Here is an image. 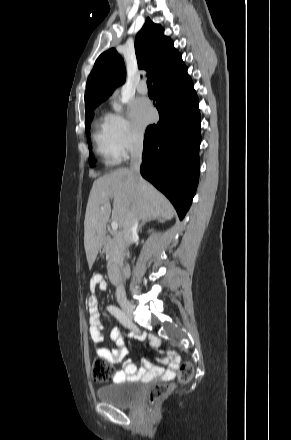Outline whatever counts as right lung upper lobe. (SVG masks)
<instances>
[{"mask_svg":"<svg viewBox=\"0 0 291 440\" xmlns=\"http://www.w3.org/2000/svg\"><path fill=\"white\" fill-rule=\"evenodd\" d=\"M135 51L139 69H145L154 84L185 66L181 54L173 47V41L163 34L160 25L154 24L149 18L136 35ZM124 81L125 66L122 57L114 48L102 53L88 77L86 112L106 100L114 87Z\"/></svg>","mask_w":291,"mask_h":440,"instance_id":"1","label":"right lung upper lobe"}]
</instances>
